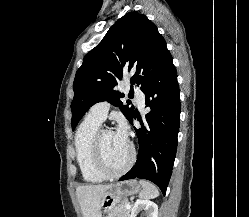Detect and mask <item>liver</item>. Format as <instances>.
<instances>
[{"mask_svg":"<svg viewBox=\"0 0 249 217\" xmlns=\"http://www.w3.org/2000/svg\"><path fill=\"white\" fill-rule=\"evenodd\" d=\"M111 187L112 185L102 184L77 187L76 194L83 217H101L100 202Z\"/></svg>","mask_w":249,"mask_h":217,"instance_id":"liver-1","label":"liver"}]
</instances>
